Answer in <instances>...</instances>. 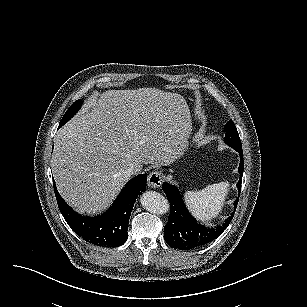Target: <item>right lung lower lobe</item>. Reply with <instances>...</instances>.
<instances>
[{
    "label": "right lung lower lobe",
    "instance_id": "98d812e1",
    "mask_svg": "<svg viewBox=\"0 0 307 307\" xmlns=\"http://www.w3.org/2000/svg\"><path fill=\"white\" fill-rule=\"evenodd\" d=\"M147 174L131 179L120 192L112 207L100 216L83 217L69 207L54 190L59 209L73 231L86 242L100 247H118L128 238V224L134 202L146 189ZM54 182V181H53Z\"/></svg>",
    "mask_w": 307,
    "mask_h": 307
}]
</instances>
